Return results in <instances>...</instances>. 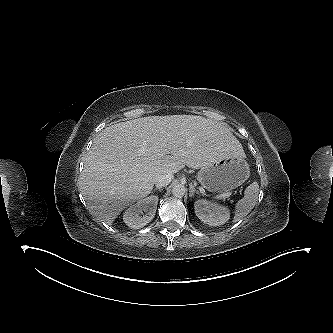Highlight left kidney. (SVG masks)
Wrapping results in <instances>:
<instances>
[{"instance_id":"left-kidney-1","label":"left kidney","mask_w":333,"mask_h":333,"mask_svg":"<svg viewBox=\"0 0 333 333\" xmlns=\"http://www.w3.org/2000/svg\"><path fill=\"white\" fill-rule=\"evenodd\" d=\"M194 209L196 216L210 226L223 225L230 219L229 208L216 202L199 199L195 201Z\"/></svg>"}]
</instances>
